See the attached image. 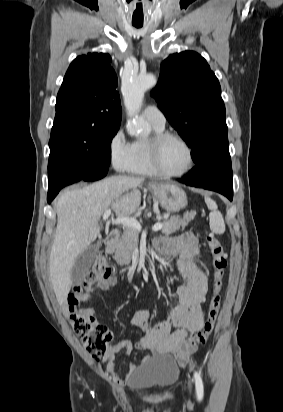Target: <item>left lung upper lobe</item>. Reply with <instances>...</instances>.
Listing matches in <instances>:
<instances>
[{"label":"left lung upper lobe","mask_w":283,"mask_h":412,"mask_svg":"<svg viewBox=\"0 0 283 412\" xmlns=\"http://www.w3.org/2000/svg\"><path fill=\"white\" fill-rule=\"evenodd\" d=\"M152 95L192 148L194 162L217 150L231 160L221 87L202 56L193 51L170 55L161 65L160 80Z\"/></svg>","instance_id":"left-lung-upper-lobe-1"}]
</instances>
